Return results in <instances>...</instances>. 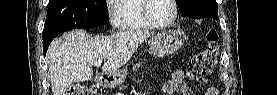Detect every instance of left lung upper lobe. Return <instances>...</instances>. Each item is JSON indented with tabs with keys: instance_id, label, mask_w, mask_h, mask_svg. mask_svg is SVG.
Segmentation results:
<instances>
[{
	"instance_id": "1",
	"label": "left lung upper lobe",
	"mask_w": 277,
	"mask_h": 95,
	"mask_svg": "<svg viewBox=\"0 0 277 95\" xmlns=\"http://www.w3.org/2000/svg\"><path fill=\"white\" fill-rule=\"evenodd\" d=\"M183 17L199 19L211 17L218 20L216 0H176Z\"/></svg>"
}]
</instances>
